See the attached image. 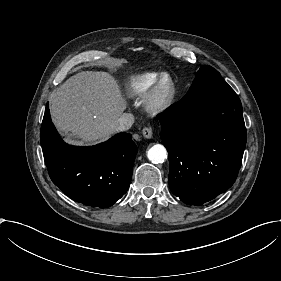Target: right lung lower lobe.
<instances>
[{
    "instance_id": "obj_1",
    "label": "right lung lower lobe",
    "mask_w": 281,
    "mask_h": 281,
    "mask_svg": "<svg viewBox=\"0 0 281 281\" xmlns=\"http://www.w3.org/2000/svg\"><path fill=\"white\" fill-rule=\"evenodd\" d=\"M40 140L51 180L71 199L107 208L128 190L137 154L130 134H116L92 147L68 145L51 122L47 104Z\"/></svg>"
}]
</instances>
